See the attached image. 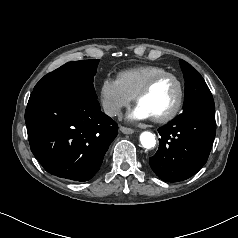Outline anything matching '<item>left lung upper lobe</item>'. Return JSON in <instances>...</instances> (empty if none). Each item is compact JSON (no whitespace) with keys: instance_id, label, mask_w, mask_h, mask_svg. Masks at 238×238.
Returning a JSON list of instances; mask_svg holds the SVG:
<instances>
[{"instance_id":"1","label":"left lung upper lobe","mask_w":238,"mask_h":238,"mask_svg":"<svg viewBox=\"0 0 238 238\" xmlns=\"http://www.w3.org/2000/svg\"><path fill=\"white\" fill-rule=\"evenodd\" d=\"M185 79L183 112L178 117H194L215 113L212 94L202 76L187 62L180 59Z\"/></svg>"}]
</instances>
